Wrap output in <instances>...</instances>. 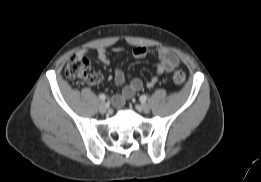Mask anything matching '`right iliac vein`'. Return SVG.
I'll use <instances>...</instances> for the list:
<instances>
[{
  "mask_svg": "<svg viewBox=\"0 0 261 182\" xmlns=\"http://www.w3.org/2000/svg\"><path fill=\"white\" fill-rule=\"evenodd\" d=\"M107 110H108L107 105H106L104 102H101V103L99 104V111H100L101 113H106Z\"/></svg>",
  "mask_w": 261,
  "mask_h": 182,
  "instance_id": "63e3f726",
  "label": "right iliac vein"
}]
</instances>
